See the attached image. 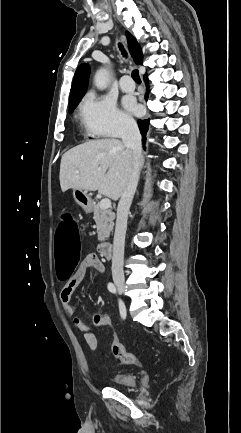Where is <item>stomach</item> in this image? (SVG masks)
Wrapping results in <instances>:
<instances>
[{
  "mask_svg": "<svg viewBox=\"0 0 241 433\" xmlns=\"http://www.w3.org/2000/svg\"><path fill=\"white\" fill-rule=\"evenodd\" d=\"M73 197L75 202L86 212H90L92 210L93 201L88 191L75 189L73 190Z\"/></svg>",
  "mask_w": 241,
  "mask_h": 433,
  "instance_id": "obj_1",
  "label": "stomach"
}]
</instances>
